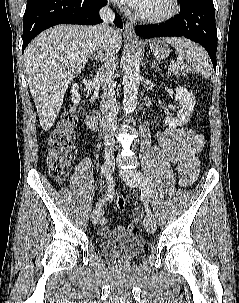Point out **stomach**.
Returning a JSON list of instances; mask_svg holds the SVG:
<instances>
[{"instance_id":"0dacf381","label":"stomach","mask_w":239,"mask_h":303,"mask_svg":"<svg viewBox=\"0 0 239 303\" xmlns=\"http://www.w3.org/2000/svg\"><path fill=\"white\" fill-rule=\"evenodd\" d=\"M150 49L157 59H165L169 55V48L163 42L156 40L150 45Z\"/></svg>"}]
</instances>
